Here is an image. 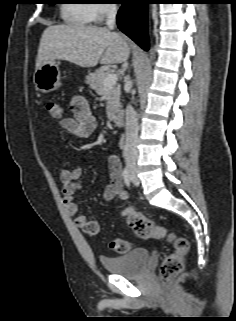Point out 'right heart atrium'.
<instances>
[{
  "instance_id": "d8ad5b80",
  "label": "right heart atrium",
  "mask_w": 236,
  "mask_h": 321,
  "mask_svg": "<svg viewBox=\"0 0 236 321\" xmlns=\"http://www.w3.org/2000/svg\"><path fill=\"white\" fill-rule=\"evenodd\" d=\"M115 11V5L112 0H95L89 8V18L91 21L99 22L106 16Z\"/></svg>"
}]
</instances>
